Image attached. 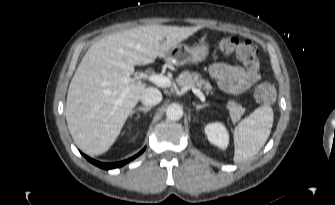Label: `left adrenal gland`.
I'll use <instances>...</instances> for the list:
<instances>
[{"instance_id": "obj_1", "label": "left adrenal gland", "mask_w": 335, "mask_h": 205, "mask_svg": "<svg viewBox=\"0 0 335 205\" xmlns=\"http://www.w3.org/2000/svg\"><path fill=\"white\" fill-rule=\"evenodd\" d=\"M209 104H201V105H196V110H200V109H203L205 107H207Z\"/></svg>"}]
</instances>
